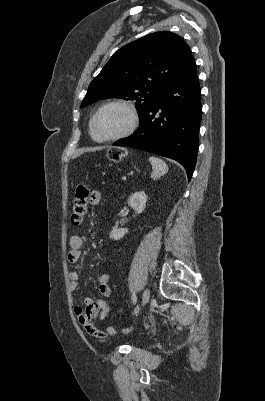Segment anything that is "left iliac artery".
<instances>
[{
    "instance_id": "44dca946",
    "label": "left iliac artery",
    "mask_w": 265,
    "mask_h": 401,
    "mask_svg": "<svg viewBox=\"0 0 265 401\" xmlns=\"http://www.w3.org/2000/svg\"><path fill=\"white\" fill-rule=\"evenodd\" d=\"M136 301H137V296H136V293L134 292V293L132 294V302L135 304Z\"/></svg>"
}]
</instances>
